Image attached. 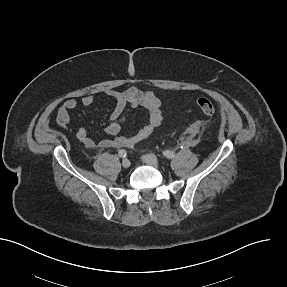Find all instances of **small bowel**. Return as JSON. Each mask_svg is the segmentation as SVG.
I'll list each match as a JSON object with an SVG mask.
<instances>
[{
  "mask_svg": "<svg viewBox=\"0 0 287 287\" xmlns=\"http://www.w3.org/2000/svg\"><path fill=\"white\" fill-rule=\"evenodd\" d=\"M116 102L115 108L110 115V123L105 132L109 138L95 141L89 136L86 128L82 125H75L76 139L86 148H131L138 142L148 138L163 121L162 103L159 97L151 91H142L136 87H129L123 91L107 89L104 92ZM94 102L93 95H86L81 99L85 109H90ZM77 107V101L73 98L67 99L57 112V121L60 127L68 129L73 125L70 112ZM141 107L148 114L145 125L135 134L118 136L122 124L125 122V115L129 109Z\"/></svg>",
  "mask_w": 287,
  "mask_h": 287,
  "instance_id": "c3829d8e",
  "label": "small bowel"
}]
</instances>
